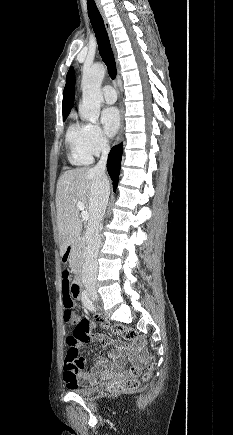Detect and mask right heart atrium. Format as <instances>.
Wrapping results in <instances>:
<instances>
[{"label":"right heart atrium","instance_id":"1","mask_svg":"<svg viewBox=\"0 0 233 435\" xmlns=\"http://www.w3.org/2000/svg\"><path fill=\"white\" fill-rule=\"evenodd\" d=\"M108 139L96 124H87V148L92 155L99 156L107 151Z\"/></svg>","mask_w":233,"mask_h":435}]
</instances>
